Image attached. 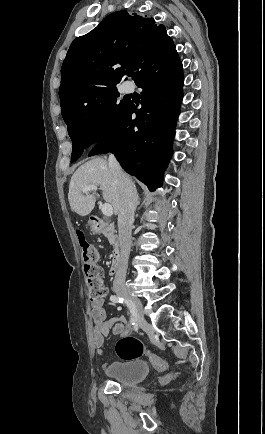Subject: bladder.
<instances>
[{"mask_svg":"<svg viewBox=\"0 0 265 434\" xmlns=\"http://www.w3.org/2000/svg\"><path fill=\"white\" fill-rule=\"evenodd\" d=\"M149 366L139 359L114 362L108 368V375L126 386H134L140 383L148 374Z\"/></svg>","mask_w":265,"mask_h":434,"instance_id":"obj_1","label":"bladder"}]
</instances>
